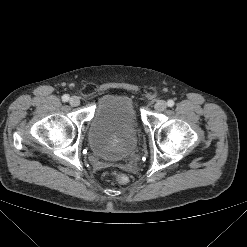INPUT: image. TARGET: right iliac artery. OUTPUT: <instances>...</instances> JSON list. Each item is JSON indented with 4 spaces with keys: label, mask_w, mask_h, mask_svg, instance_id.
Returning <instances> with one entry per match:
<instances>
[{
    "label": "right iliac artery",
    "mask_w": 247,
    "mask_h": 247,
    "mask_svg": "<svg viewBox=\"0 0 247 247\" xmlns=\"http://www.w3.org/2000/svg\"><path fill=\"white\" fill-rule=\"evenodd\" d=\"M62 100H63L64 102H67V101L69 100V95H67V94L63 95V96H62Z\"/></svg>",
    "instance_id": "82829eb1"
}]
</instances>
